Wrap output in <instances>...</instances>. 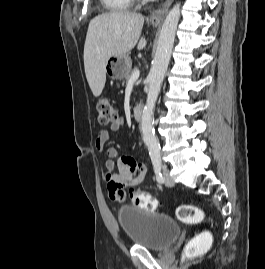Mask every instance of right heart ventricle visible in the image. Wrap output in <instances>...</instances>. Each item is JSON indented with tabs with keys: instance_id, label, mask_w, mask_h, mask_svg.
<instances>
[{
	"instance_id": "obj_1",
	"label": "right heart ventricle",
	"mask_w": 265,
	"mask_h": 269,
	"mask_svg": "<svg viewBox=\"0 0 265 269\" xmlns=\"http://www.w3.org/2000/svg\"><path fill=\"white\" fill-rule=\"evenodd\" d=\"M134 1L135 0H102L105 7L112 12L126 11L133 6Z\"/></svg>"
}]
</instances>
